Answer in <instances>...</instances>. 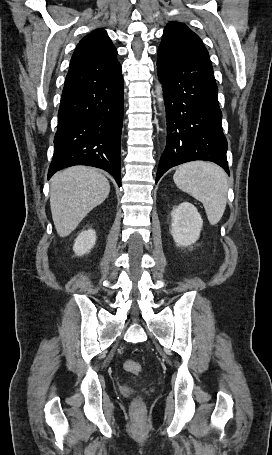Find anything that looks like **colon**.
I'll list each match as a JSON object with an SVG mask.
<instances>
[{"instance_id":"5ec220e1","label":"colon","mask_w":272,"mask_h":455,"mask_svg":"<svg viewBox=\"0 0 272 455\" xmlns=\"http://www.w3.org/2000/svg\"><path fill=\"white\" fill-rule=\"evenodd\" d=\"M124 369L129 373L137 375L141 371V365L136 361L127 360L124 363ZM133 409H134L135 413H139L141 411L140 400H135V402L133 404Z\"/></svg>"}]
</instances>
